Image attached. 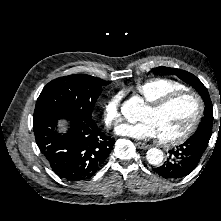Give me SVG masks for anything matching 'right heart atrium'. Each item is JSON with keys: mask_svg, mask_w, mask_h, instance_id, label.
Masks as SVG:
<instances>
[{"mask_svg": "<svg viewBox=\"0 0 221 221\" xmlns=\"http://www.w3.org/2000/svg\"><path fill=\"white\" fill-rule=\"evenodd\" d=\"M121 94L116 93L112 95L103 106V121L104 124L111 128L116 126L121 121L120 103Z\"/></svg>", "mask_w": 221, "mask_h": 221, "instance_id": "right-heart-atrium-1", "label": "right heart atrium"}]
</instances>
